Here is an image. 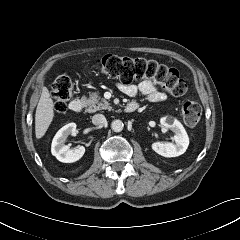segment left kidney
<instances>
[{
  "mask_svg": "<svg viewBox=\"0 0 240 240\" xmlns=\"http://www.w3.org/2000/svg\"><path fill=\"white\" fill-rule=\"evenodd\" d=\"M160 123L162 127L175 133L173 137L175 143L157 141L152 144V149L164 157H177L185 153L189 145V138L183 125L172 117H163L160 119Z\"/></svg>",
  "mask_w": 240,
  "mask_h": 240,
  "instance_id": "1",
  "label": "left kidney"
}]
</instances>
